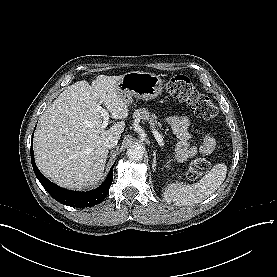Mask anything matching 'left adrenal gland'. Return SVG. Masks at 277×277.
I'll use <instances>...</instances> for the list:
<instances>
[{
	"instance_id": "left-adrenal-gland-1",
	"label": "left adrenal gland",
	"mask_w": 277,
	"mask_h": 277,
	"mask_svg": "<svg viewBox=\"0 0 277 277\" xmlns=\"http://www.w3.org/2000/svg\"><path fill=\"white\" fill-rule=\"evenodd\" d=\"M153 164H152V167H153V170H155V167H156V151L153 152Z\"/></svg>"
}]
</instances>
